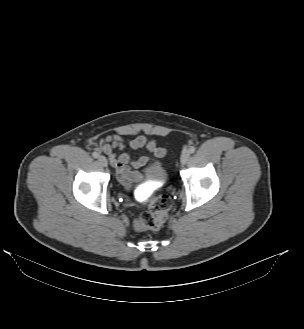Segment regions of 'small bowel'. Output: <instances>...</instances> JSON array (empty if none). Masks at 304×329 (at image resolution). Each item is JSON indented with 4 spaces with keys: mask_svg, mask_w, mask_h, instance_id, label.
I'll return each instance as SVG.
<instances>
[{
    "mask_svg": "<svg viewBox=\"0 0 304 329\" xmlns=\"http://www.w3.org/2000/svg\"><path fill=\"white\" fill-rule=\"evenodd\" d=\"M126 148L131 150L147 149L152 155L133 159L129 152L125 151ZM100 150L108 155L110 164L116 169L119 183L126 190H130L135 182L143 179L142 174L138 171L139 168L164 157L166 153L155 139L144 135H138L128 142L119 134L108 135L102 139Z\"/></svg>",
    "mask_w": 304,
    "mask_h": 329,
    "instance_id": "c3829d8e",
    "label": "small bowel"
}]
</instances>
